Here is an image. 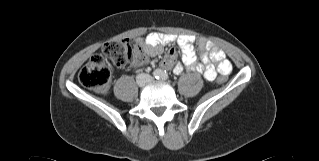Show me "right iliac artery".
<instances>
[{"instance_id": "right-iliac-artery-1", "label": "right iliac artery", "mask_w": 319, "mask_h": 161, "mask_svg": "<svg viewBox=\"0 0 319 161\" xmlns=\"http://www.w3.org/2000/svg\"><path fill=\"white\" fill-rule=\"evenodd\" d=\"M161 76V71L159 69H156L154 72H153V77L156 78V79H159Z\"/></svg>"}]
</instances>
